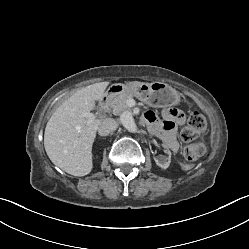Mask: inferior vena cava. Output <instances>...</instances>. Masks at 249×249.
I'll list each match as a JSON object with an SVG mask.
<instances>
[{"instance_id":"602c4592","label":"inferior vena cava","mask_w":249,"mask_h":249,"mask_svg":"<svg viewBox=\"0 0 249 249\" xmlns=\"http://www.w3.org/2000/svg\"><path fill=\"white\" fill-rule=\"evenodd\" d=\"M118 127L117 122L114 119L107 118L101 121L98 127V134L100 136H107L111 132L115 131Z\"/></svg>"}]
</instances>
